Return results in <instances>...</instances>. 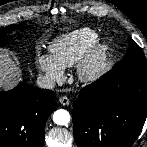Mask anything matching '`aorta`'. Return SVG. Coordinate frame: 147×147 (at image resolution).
<instances>
[{"label": "aorta", "mask_w": 147, "mask_h": 147, "mask_svg": "<svg viewBox=\"0 0 147 147\" xmlns=\"http://www.w3.org/2000/svg\"><path fill=\"white\" fill-rule=\"evenodd\" d=\"M53 121L57 125H67L70 122V114L64 109L56 110L53 114Z\"/></svg>", "instance_id": "obj_1"}]
</instances>
